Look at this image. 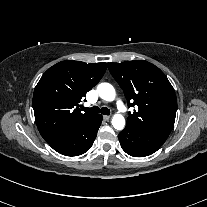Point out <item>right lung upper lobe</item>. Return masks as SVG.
<instances>
[{"mask_svg":"<svg viewBox=\"0 0 207 207\" xmlns=\"http://www.w3.org/2000/svg\"><path fill=\"white\" fill-rule=\"evenodd\" d=\"M105 71L106 63L65 60L43 74L34 90L33 109L39 132L48 143L96 116L83 114L78 107Z\"/></svg>","mask_w":207,"mask_h":207,"instance_id":"cb5924a9","label":"right lung upper lobe"}]
</instances>
